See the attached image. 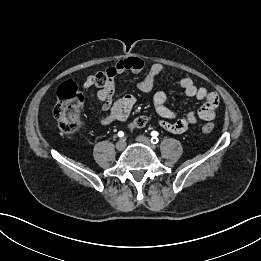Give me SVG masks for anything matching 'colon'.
<instances>
[{"instance_id":"colon-1","label":"colon","mask_w":261,"mask_h":261,"mask_svg":"<svg viewBox=\"0 0 261 261\" xmlns=\"http://www.w3.org/2000/svg\"><path fill=\"white\" fill-rule=\"evenodd\" d=\"M106 81L104 72H99L91 78L92 85L96 87H103ZM57 97L58 100L53 109L54 118L63 133L74 134L82 124L81 107L83 96L74 82L66 81L59 86ZM148 120L147 116H139L131 122L130 127L132 129L142 128L148 123ZM213 129V123H206L202 126L204 133H210Z\"/></svg>"}]
</instances>
